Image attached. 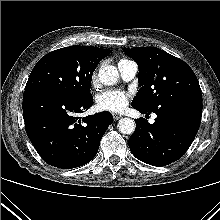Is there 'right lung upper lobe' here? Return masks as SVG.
I'll list each match as a JSON object with an SVG mask.
<instances>
[{"mask_svg": "<svg viewBox=\"0 0 220 220\" xmlns=\"http://www.w3.org/2000/svg\"><path fill=\"white\" fill-rule=\"evenodd\" d=\"M78 49L86 54V55H89L90 57L98 60V61H101L103 58H105L109 53L112 52V50H108V49H101V48H97V47H92V46H89V47H84V46H78Z\"/></svg>", "mask_w": 220, "mask_h": 220, "instance_id": "obj_1", "label": "right lung upper lobe"}]
</instances>
